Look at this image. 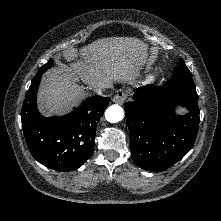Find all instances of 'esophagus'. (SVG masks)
<instances>
[{
  "label": "esophagus",
  "mask_w": 221,
  "mask_h": 221,
  "mask_svg": "<svg viewBox=\"0 0 221 221\" xmlns=\"http://www.w3.org/2000/svg\"><path fill=\"white\" fill-rule=\"evenodd\" d=\"M128 97V92L126 90H118L114 96V102L117 104H124Z\"/></svg>",
  "instance_id": "esophagus-1"
}]
</instances>
